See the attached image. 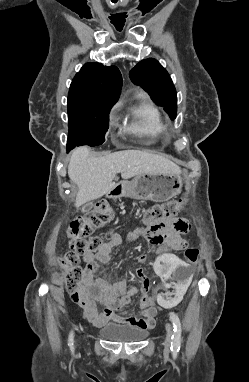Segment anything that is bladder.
I'll return each instance as SVG.
<instances>
[{
  "label": "bladder",
  "instance_id": "obj_1",
  "mask_svg": "<svg viewBox=\"0 0 249 382\" xmlns=\"http://www.w3.org/2000/svg\"><path fill=\"white\" fill-rule=\"evenodd\" d=\"M101 335L108 341L134 343L143 340L148 331L130 324L109 322L101 330Z\"/></svg>",
  "mask_w": 249,
  "mask_h": 382
}]
</instances>
